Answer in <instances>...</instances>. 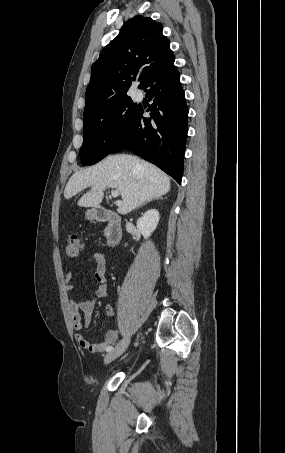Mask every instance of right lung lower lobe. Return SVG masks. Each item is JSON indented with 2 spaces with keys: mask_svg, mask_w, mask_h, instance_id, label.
I'll return each instance as SVG.
<instances>
[{
  "mask_svg": "<svg viewBox=\"0 0 285 453\" xmlns=\"http://www.w3.org/2000/svg\"><path fill=\"white\" fill-rule=\"evenodd\" d=\"M153 101L143 117L138 107L130 125L112 149L133 151L172 176L179 184L183 175V157L187 136L188 109L175 66L152 77L144 86Z\"/></svg>",
  "mask_w": 285,
  "mask_h": 453,
  "instance_id": "obj_1",
  "label": "right lung lower lobe"
}]
</instances>
